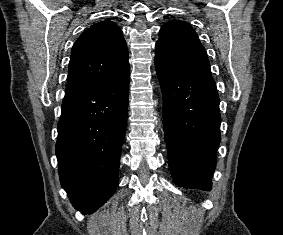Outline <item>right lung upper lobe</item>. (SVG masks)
I'll list each match as a JSON object with an SVG mask.
<instances>
[{
    "label": "right lung upper lobe",
    "instance_id": "obj_1",
    "mask_svg": "<svg viewBox=\"0 0 283 235\" xmlns=\"http://www.w3.org/2000/svg\"><path fill=\"white\" fill-rule=\"evenodd\" d=\"M129 69L122 31L110 20L98 22L73 45L65 93L115 79Z\"/></svg>",
    "mask_w": 283,
    "mask_h": 235
}]
</instances>
